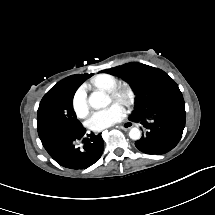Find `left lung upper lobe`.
<instances>
[{"mask_svg": "<svg viewBox=\"0 0 215 215\" xmlns=\"http://www.w3.org/2000/svg\"><path fill=\"white\" fill-rule=\"evenodd\" d=\"M102 72L128 80L137 93L129 117L141 121L146 134L135 142L146 154H163L180 141L185 126L184 100L178 85L164 71L140 63H128Z\"/></svg>", "mask_w": 215, "mask_h": 215, "instance_id": "5c2ea615", "label": "left lung upper lobe"}]
</instances>
